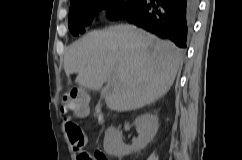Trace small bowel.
Returning a JSON list of instances; mask_svg holds the SVG:
<instances>
[{
	"label": "small bowel",
	"instance_id": "small-bowel-1",
	"mask_svg": "<svg viewBox=\"0 0 242 160\" xmlns=\"http://www.w3.org/2000/svg\"><path fill=\"white\" fill-rule=\"evenodd\" d=\"M89 113V110L86 109L85 112H76V115L79 117H84L87 116ZM73 147L76 151V156H77V160H81V155L85 152L83 151L81 148H79L77 145L73 144Z\"/></svg>",
	"mask_w": 242,
	"mask_h": 160
}]
</instances>
